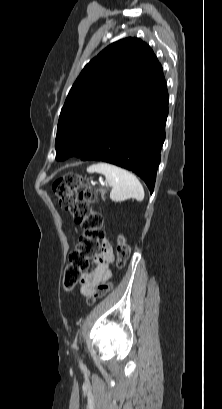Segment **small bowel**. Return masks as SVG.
I'll return each instance as SVG.
<instances>
[{
  "instance_id": "obj_1",
  "label": "small bowel",
  "mask_w": 222,
  "mask_h": 409,
  "mask_svg": "<svg viewBox=\"0 0 222 409\" xmlns=\"http://www.w3.org/2000/svg\"><path fill=\"white\" fill-rule=\"evenodd\" d=\"M100 257L96 256L93 259L96 266L84 273L80 281V293L85 297L90 296L97 287L112 279L109 265L114 261V251L112 244L107 239L102 241Z\"/></svg>"
}]
</instances>
